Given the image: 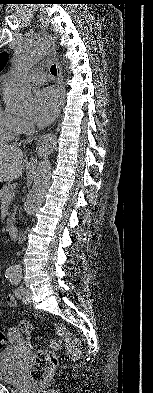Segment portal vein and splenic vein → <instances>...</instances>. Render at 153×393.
<instances>
[{
  "label": "portal vein and splenic vein",
  "instance_id": "obj_1",
  "mask_svg": "<svg viewBox=\"0 0 153 393\" xmlns=\"http://www.w3.org/2000/svg\"><path fill=\"white\" fill-rule=\"evenodd\" d=\"M13 196H14V193H13V192H11V193L7 194V196H6V200H5V201H7V200H11V199L13 198Z\"/></svg>",
  "mask_w": 153,
  "mask_h": 393
}]
</instances>
